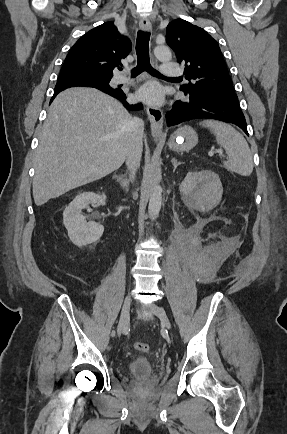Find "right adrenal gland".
Returning a JSON list of instances; mask_svg holds the SVG:
<instances>
[{
	"label": "right adrenal gland",
	"instance_id": "1",
	"mask_svg": "<svg viewBox=\"0 0 287 434\" xmlns=\"http://www.w3.org/2000/svg\"><path fill=\"white\" fill-rule=\"evenodd\" d=\"M116 179H117V181L120 183V186L122 187V188H127L128 187V185H129V182H130V179H127V177H126V175H115L114 176Z\"/></svg>",
	"mask_w": 287,
	"mask_h": 434
}]
</instances>
